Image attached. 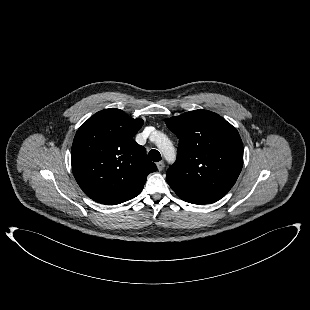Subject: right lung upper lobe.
I'll return each instance as SVG.
<instances>
[{
    "label": "right lung upper lobe",
    "mask_w": 310,
    "mask_h": 310,
    "mask_svg": "<svg viewBox=\"0 0 310 310\" xmlns=\"http://www.w3.org/2000/svg\"><path fill=\"white\" fill-rule=\"evenodd\" d=\"M124 111L104 109L78 129L71 150L72 171L92 200L116 205L136 197L149 173L157 170L133 139L142 127Z\"/></svg>",
    "instance_id": "cb5924a9"
}]
</instances>
